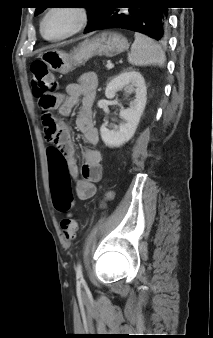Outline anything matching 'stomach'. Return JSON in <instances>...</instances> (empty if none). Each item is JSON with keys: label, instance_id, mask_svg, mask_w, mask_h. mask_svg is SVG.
Returning <instances> with one entry per match:
<instances>
[{"label": "stomach", "instance_id": "stomach-1", "mask_svg": "<svg viewBox=\"0 0 213 338\" xmlns=\"http://www.w3.org/2000/svg\"><path fill=\"white\" fill-rule=\"evenodd\" d=\"M128 48L129 43L123 35L112 31H103L85 39L71 54L54 49L44 52L41 59L52 71L66 74L93 56L113 57Z\"/></svg>", "mask_w": 213, "mask_h": 338}]
</instances>
